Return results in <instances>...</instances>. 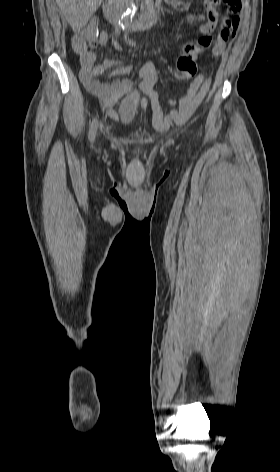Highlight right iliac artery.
Listing matches in <instances>:
<instances>
[{"label":"right iliac artery","mask_w":280,"mask_h":472,"mask_svg":"<svg viewBox=\"0 0 280 472\" xmlns=\"http://www.w3.org/2000/svg\"><path fill=\"white\" fill-rule=\"evenodd\" d=\"M121 28H123V26H120V27H118V28H116V29L118 30V29H121ZM113 43H114V46L119 49V45H118L117 41H114V40H113ZM96 131H97V119L95 118V119L92 121L90 130H89V139H90L91 141L94 140L95 135H96Z\"/></svg>","instance_id":"1"}]
</instances>
